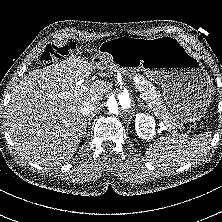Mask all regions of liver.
Segmentation results:
<instances>
[{"mask_svg":"<svg viewBox=\"0 0 222 222\" xmlns=\"http://www.w3.org/2000/svg\"><path fill=\"white\" fill-rule=\"evenodd\" d=\"M97 69L107 77L93 60L70 57L31 71L15 86L5 112L6 126L26 159L51 166L72 158L85 133L82 103L89 99L98 103L112 86L104 80L76 85Z\"/></svg>","mask_w":222,"mask_h":222,"instance_id":"6515ba94","label":"liver"}]
</instances>
